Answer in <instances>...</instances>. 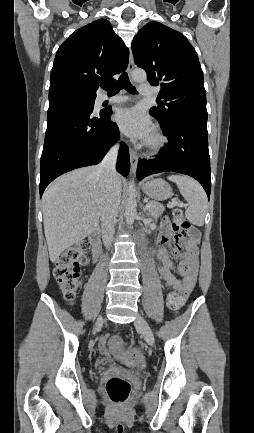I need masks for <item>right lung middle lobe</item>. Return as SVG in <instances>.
Wrapping results in <instances>:
<instances>
[{
  "instance_id": "1",
  "label": "right lung middle lobe",
  "mask_w": 254,
  "mask_h": 433,
  "mask_svg": "<svg viewBox=\"0 0 254 433\" xmlns=\"http://www.w3.org/2000/svg\"><path fill=\"white\" fill-rule=\"evenodd\" d=\"M79 100H81V101H84V102H87V103H90V104L94 105V101H95V98H92V99H79Z\"/></svg>"
}]
</instances>
